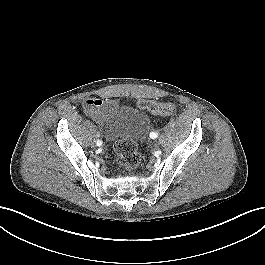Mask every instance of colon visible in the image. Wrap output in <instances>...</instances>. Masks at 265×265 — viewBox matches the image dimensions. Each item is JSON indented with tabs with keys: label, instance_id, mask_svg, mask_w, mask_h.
<instances>
[{
	"label": "colon",
	"instance_id": "obj_1",
	"mask_svg": "<svg viewBox=\"0 0 265 265\" xmlns=\"http://www.w3.org/2000/svg\"><path fill=\"white\" fill-rule=\"evenodd\" d=\"M137 106L157 115H170L175 110V105L170 102H155L151 100H138ZM117 162L125 168H134L141 162V155L137 145L131 140H117L114 144Z\"/></svg>",
	"mask_w": 265,
	"mask_h": 265
}]
</instances>
